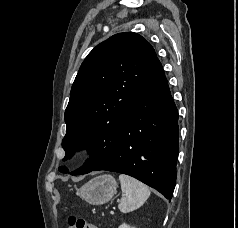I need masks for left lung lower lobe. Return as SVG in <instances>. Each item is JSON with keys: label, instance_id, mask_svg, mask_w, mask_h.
I'll return each mask as SVG.
<instances>
[{"label": "left lung lower lobe", "instance_id": "0a47b994", "mask_svg": "<svg viewBox=\"0 0 238 228\" xmlns=\"http://www.w3.org/2000/svg\"><path fill=\"white\" fill-rule=\"evenodd\" d=\"M178 132V111L157 58L118 132L115 152L91 171L106 170L130 175L170 199L176 182Z\"/></svg>", "mask_w": 238, "mask_h": 228}]
</instances>
